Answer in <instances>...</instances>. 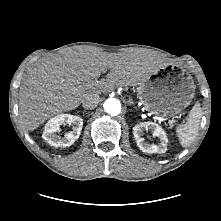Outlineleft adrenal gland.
<instances>
[{
  "mask_svg": "<svg viewBox=\"0 0 221 221\" xmlns=\"http://www.w3.org/2000/svg\"><path fill=\"white\" fill-rule=\"evenodd\" d=\"M128 103H129L130 105H132V104H133V102H132L131 100H129V101H128Z\"/></svg>",
  "mask_w": 221,
  "mask_h": 221,
  "instance_id": "left-adrenal-gland-1",
  "label": "left adrenal gland"
}]
</instances>
